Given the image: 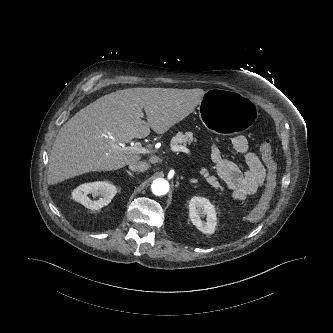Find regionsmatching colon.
<instances>
[{"label": "colon", "mask_w": 333, "mask_h": 333, "mask_svg": "<svg viewBox=\"0 0 333 333\" xmlns=\"http://www.w3.org/2000/svg\"><path fill=\"white\" fill-rule=\"evenodd\" d=\"M259 154L261 159L265 163L267 169V180H266L265 192L260 203L248 215V219L251 222H257L264 216V214L266 213V211L270 206L274 190L276 187L277 167L273 160L272 145L270 141L266 140L260 145Z\"/></svg>", "instance_id": "5ec220e1"}]
</instances>
